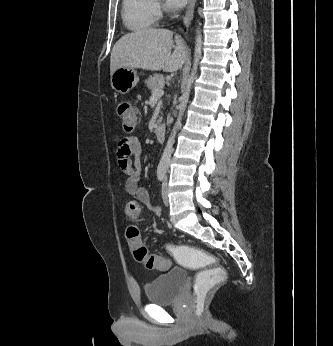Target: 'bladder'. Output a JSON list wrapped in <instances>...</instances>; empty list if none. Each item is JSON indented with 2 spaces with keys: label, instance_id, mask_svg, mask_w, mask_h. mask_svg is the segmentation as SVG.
<instances>
[{
  "label": "bladder",
  "instance_id": "1",
  "mask_svg": "<svg viewBox=\"0 0 333 346\" xmlns=\"http://www.w3.org/2000/svg\"><path fill=\"white\" fill-rule=\"evenodd\" d=\"M186 281L187 273L184 269H171L146 284V298L149 303L157 305L172 303L179 297Z\"/></svg>",
  "mask_w": 333,
  "mask_h": 346
}]
</instances>
